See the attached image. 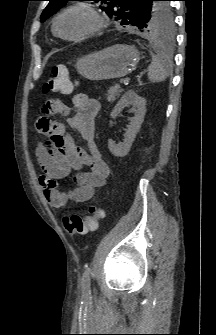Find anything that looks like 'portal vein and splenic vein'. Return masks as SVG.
Returning a JSON list of instances; mask_svg holds the SVG:
<instances>
[{"label":"portal vein and splenic vein","instance_id":"18ae733b","mask_svg":"<svg viewBox=\"0 0 216 335\" xmlns=\"http://www.w3.org/2000/svg\"><path fill=\"white\" fill-rule=\"evenodd\" d=\"M128 79H126V78H123V79H121L120 80V84H126V83H128Z\"/></svg>","mask_w":216,"mask_h":335}]
</instances>
